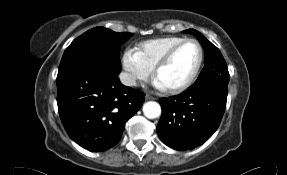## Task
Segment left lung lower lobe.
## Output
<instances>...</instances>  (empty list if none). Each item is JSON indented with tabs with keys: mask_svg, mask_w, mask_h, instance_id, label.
Returning a JSON list of instances; mask_svg holds the SVG:
<instances>
[{
	"mask_svg": "<svg viewBox=\"0 0 287 175\" xmlns=\"http://www.w3.org/2000/svg\"><path fill=\"white\" fill-rule=\"evenodd\" d=\"M227 102V88L204 86L161 98L162 115L157 126L167 146L190 150L202 145L217 130Z\"/></svg>",
	"mask_w": 287,
	"mask_h": 175,
	"instance_id": "left-lung-lower-lobe-1",
	"label": "left lung lower lobe"
}]
</instances>
